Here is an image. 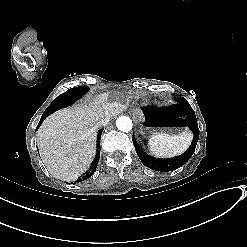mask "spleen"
Segmentation results:
<instances>
[{"label": "spleen", "instance_id": "obj_1", "mask_svg": "<svg viewBox=\"0 0 247 247\" xmlns=\"http://www.w3.org/2000/svg\"><path fill=\"white\" fill-rule=\"evenodd\" d=\"M193 138V134L184 131L179 135L156 133L149 139L150 150L157 155L175 156L185 151Z\"/></svg>", "mask_w": 247, "mask_h": 247}]
</instances>
